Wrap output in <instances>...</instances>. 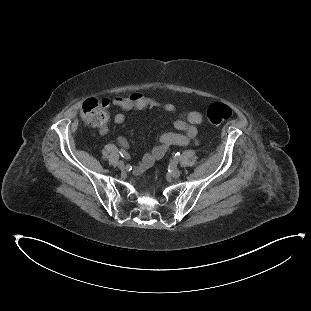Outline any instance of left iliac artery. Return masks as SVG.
I'll return each instance as SVG.
<instances>
[{
	"mask_svg": "<svg viewBox=\"0 0 311 311\" xmlns=\"http://www.w3.org/2000/svg\"><path fill=\"white\" fill-rule=\"evenodd\" d=\"M179 158H180V153L177 152V153L175 154V156H174V160L172 161L171 165H172V166H176L177 163H178Z\"/></svg>",
	"mask_w": 311,
	"mask_h": 311,
	"instance_id": "44dca946",
	"label": "left iliac artery"
}]
</instances>
